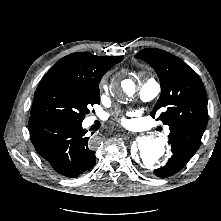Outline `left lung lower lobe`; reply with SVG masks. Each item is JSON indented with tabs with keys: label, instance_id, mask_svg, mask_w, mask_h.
I'll use <instances>...</instances> for the list:
<instances>
[{
	"label": "left lung lower lobe",
	"instance_id": "1",
	"mask_svg": "<svg viewBox=\"0 0 221 221\" xmlns=\"http://www.w3.org/2000/svg\"><path fill=\"white\" fill-rule=\"evenodd\" d=\"M169 129L173 154L165 166L154 170V174L160 178H167L180 171L197 151L203 135L195 129L180 125L170 126Z\"/></svg>",
	"mask_w": 221,
	"mask_h": 221
}]
</instances>
